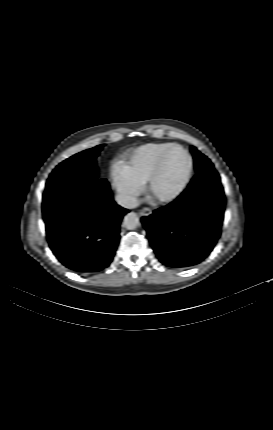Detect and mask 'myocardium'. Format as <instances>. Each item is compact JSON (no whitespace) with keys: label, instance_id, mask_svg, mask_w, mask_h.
<instances>
[{"label":"myocardium","instance_id":"myocardium-1","mask_svg":"<svg viewBox=\"0 0 273 430\" xmlns=\"http://www.w3.org/2000/svg\"><path fill=\"white\" fill-rule=\"evenodd\" d=\"M178 149L180 150L184 156L186 157L187 161H188V168L187 171L185 173V176L183 178V180L181 181V183L178 185V187L171 192L170 194L167 195H157L155 193V185L156 182L160 176V173L162 171L163 168V164L164 161L167 157V155L172 151ZM193 169H194V164H193V159L191 157V155L189 154V152L182 146L178 145V144H172L171 146L167 147L159 156L147 182H146V189H147V193L150 197L151 200H153L156 203L159 204H168L171 203L173 201H175L176 199H178L182 193L186 190L187 186L190 183V180L192 178L193 175Z\"/></svg>","mask_w":273,"mask_h":430}]
</instances>
